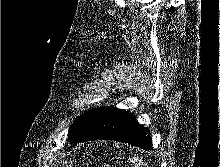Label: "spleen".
I'll return each mask as SVG.
<instances>
[{"mask_svg": "<svg viewBox=\"0 0 220 167\" xmlns=\"http://www.w3.org/2000/svg\"><path fill=\"white\" fill-rule=\"evenodd\" d=\"M129 161L133 164H136V167H138V166H144V167L146 166L147 167V164L143 163V161L141 159L132 157V158H129Z\"/></svg>", "mask_w": 220, "mask_h": 167, "instance_id": "3e777b00", "label": "spleen"}]
</instances>
